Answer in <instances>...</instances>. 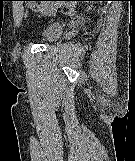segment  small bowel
I'll list each match as a JSON object with an SVG mask.
<instances>
[{
    "mask_svg": "<svg viewBox=\"0 0 135 161\" xmlns=\"http://www.w3.org/2000/svg\"><path fill=\"white\" fill-rule=\"evenodd\" d=\"M50 10V8H49V6L47 7V8H44L43 9V12H47V11H49Z\"/></svg>",
    "mask_w": 135,
    "mask_h": 161,
    "instance_id": "c3829d8e",
    "label": "small bowel"
}]
</instances>
